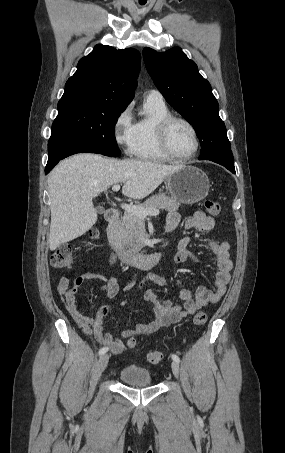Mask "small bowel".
<instances>
[{
	"label": "small bowel",
	"mask_w": 285,
	"mask_h": 453,
	"mask_svg": "<svg viewBox=\"0 0 285 453\" xmlns=\"http://www.w3.org/2000/svg\"><path fill=\"white\" fill-rule=\"evenodd\" d=\"M179 224V214L176 212L168 213L166 217L167 231L169 233L174 232ZM214 225L215 222L212 217L207 216L202 211H197L185 221L184 227L186 229H196L201 232H210L213 230ZM190 241L191 238L188 236L180 239L177 253L173 258L175 264L183 263L188 259L198 260V258L187 248ZM209 248L217 259V272L215 275L214 287L209 289L205 286H199L193 293L185 287V283L188 281L187 278L179 280V298L182 300V304H176L170 299L162 300L157 296L154 290L147 289L144 292V300L152 309L153 317L147 322L136 324L134 329L122 330L121 336L123 338L150 335L163 327L179 322L187 315L194 314L197 310L205 307L207 304L215 303L220 300L226 291L227 284L230 280V273L233 268L229 252L230 245L227 241L217 242L211 240L209 242ZM115 262V255H111L107 260L109 266L114 265ZM94 279H102L105 281V285L102 289L109 298H114L119 293V285L113 276L95 272H87L80 275L71 285L69 277L63 276L59 280L57 290L63 297L66 308L82 332L87 336L94 337L101 346L107 348L113 354H120L126 350L125 342L114 337L111 333L105 332L103 329V320L108 316L112 307L103 306L99 308L92 318L84 316L77 308L76 295L79 288L86 282ZM149 281L160 287L166 286V279L164 276L151 273L140 283V288H143Z\"/></svg>",
	"instance_id": "1"
}]
</instances>
